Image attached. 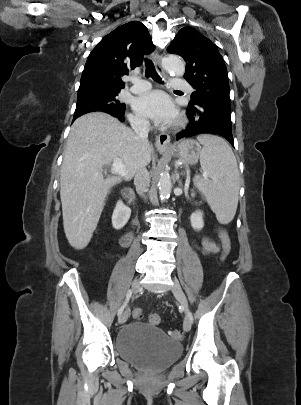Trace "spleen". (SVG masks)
Masks as SVG:
<instances>
[{
    "label": "spleen",
    "mask_w": 301,
    "mask_h": 405,
    "mask_svg": "<svg viewBox=\"0 0 301 405\" xmlns=\"http://www.w3.org/2000/svg\"><path fill=\"white\" fill-rule=\"evenodd\" d=\"M203 145L200 164L204 177L195 176L194 184L205 195L221 224H228L238 205L239 171L229 145L220 137L200 135Z\"/></svg>",
    "instance_id": "1"
}]
</instances>
